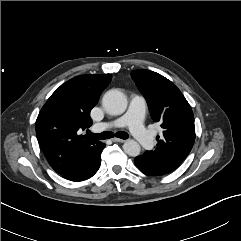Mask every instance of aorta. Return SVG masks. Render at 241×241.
Here are the masks:
<instances>
[{
	"instance_id": "obj_1",
	"label": "aorta",
	"mask_w": 241,
	"mask_h": 241,
	"mask_svg": "<svg viewBox=\"0 0 241 241\" xmlns=\"http://www.w3.org/2000/svg\"><path fill=\"white\" fill-rule=\"evenodd\" d=\"M102 105L108 114L120 115L127 108V99L121 91L112 89L107 91L103 96ZM123 150L129 156L136 157L140 154L141 147L138 142L129 139L125 141Z\"/></svg>"
}]
</instances>
